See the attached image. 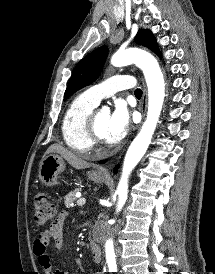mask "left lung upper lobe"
Instances as JSON below:
<instances>
[{
  "label": "left lung upper lobe",
  "mask_w": 215,
  "mask_h": 274,
  "mask_svg": "<svg viewBox=\"0 0 215 274\" xmlns=\"http://www.w3.org/2000/svg\"><path fill=\"white\" fill-rule=\"evenodd\" d=\"M135 42L149 48L161 57L156 39L149 29L139 30L135 36ZM107 52L106 46L99 47L76 65L65 91L64 101L74 92L91 84L98 78L106 60Z\"/></svg>",
  "instance_id": "obj_1"
}]
</instances>
